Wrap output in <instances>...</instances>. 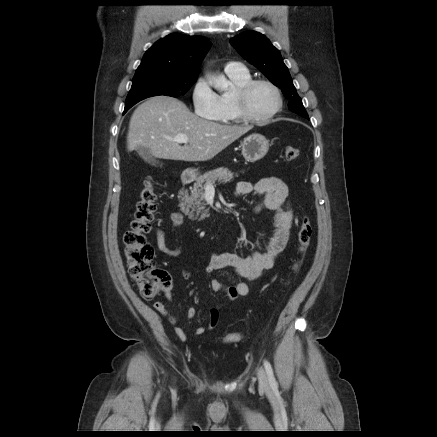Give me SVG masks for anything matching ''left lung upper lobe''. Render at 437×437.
<instances>
[{"mask_svg":"<svg viewBox=\"0 0 437 437\" xmlns=\"http://www.w3.org/2000/svg\"><path fill=\"white\" fill-rule=\"evenodd\" d=\"M238 53L257 67L289 99V110L309 118L278 49L261 33L247 31L230 39Z\"/></svg>","mask_w":437,"mask_h":437,"instance_id":"obj_1","label":"left lung upper lobe"}]
</instances>
